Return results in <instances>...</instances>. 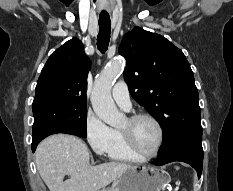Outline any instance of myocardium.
<instances>
[{
  "label": "myocardium",
  "instance_id": "1",
  "mask_svg": "<svg viewBox=\"0 0 233 191\" xmlns=\"http://www.w3.org/2000/svg\"><path fill=\"white\" fill-rule=\"evenodd\" d=\"M141 119L150 120L156 126L157 131H158L157 147L152 154H144L138 148L130 130H120V131H121V134H122L127 146L130 148V150L133 153H135L136 155H138L139 157H141L142 159L148 160V159H152V158L156 157L159 154L161 147L163 145V141H164V131H163V127H162L161 123L154 116H152L148 113L134 114V115L130 116L127 120L132 125Z\"/></svg>",
  "mask_w": 233,
  "mask_h": 191
}]
</instances>
